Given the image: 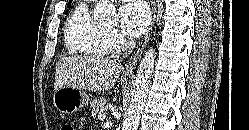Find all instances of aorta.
<instances>
[{
  "label": "aorta",
  "mask_w": 249,
  "mask_h": 130,
  "mask_svg": "<svg viewBox=\"0 0 249 130\" xmlns=\"http://www.w3.org/2000/svg\"><path fill=\"white\" fill-rule=\"evenodd\" d=\"M95 19L111 23L116 21V8L109 0L100 1L94 9ZM155 63V50L150 48L142 58L134 81V88L127 111V116L123 121L122 130H137L141 114L143 112L150 79Z\"/></svg>",
  "instance_id": "aorta-1"
}]
</instances>
